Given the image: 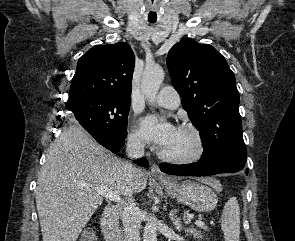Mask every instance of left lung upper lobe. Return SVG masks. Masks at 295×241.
<instances>
[{"label":"left lung upper lobe","mask_w":295,"mask_h":241,"mask_svg":"<svg viewBox=\"0 0 295 241\" xmlns=\"http://www.w3.org/2000/svg\"><path fill=\"white\" fill-rule=\"evenodd\" d=\"M167 66L182 106L200 131L204 145L201 159L246 162L239 92L224 56L211 45L186 38L170 49Z\"/></svg>","instance_id":"left-lung-upper-lobe-1"}]
</instances>
